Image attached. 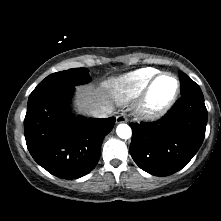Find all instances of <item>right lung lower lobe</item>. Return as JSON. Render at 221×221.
I'll use <instances>...</instances> for the list:
<instances>
[{"label": "right lung lower lobe", "instance_id": "98d812e1", "mask_svg": "<svg viewBox=\"0 0 221 221\" xmlns=\"http://www.w3.org/2000/svg\"><path fill=\"white\" fill-rule=\"evenodd\" d=\"M73 91L74 86L52 89L30 98L24 120L30 154L45 170L63 179H77L94 169L102 141L116 120L70 115Z\"/></svg>", "mask_w": 221, "mask_h": 221}]
</instances>
